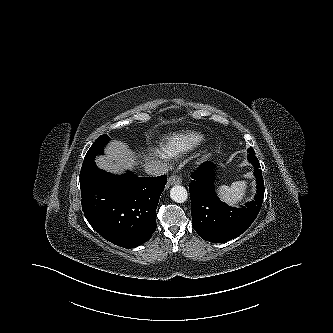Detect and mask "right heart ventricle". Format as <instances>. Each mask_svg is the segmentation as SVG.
I'll list each match as a JSON object with an SVG mask.
<instances>
[{
	"label": "right heart ventricle",
	"instance_id": "obj_1",
	"mask_svg": "<svg viewBox=\"0 0 333 333\" xmlns=\"http://www.w3.org/2000/svg\"><path fill=\"white\" fill-rule=\"evenodd\" d=\"M202 141V137L195 133H182L168 137L161 145V155L174 158L193 149Z\"/></svg>",
	"mask_w": 333,
	"mask_h": 333
}]
</instances>
